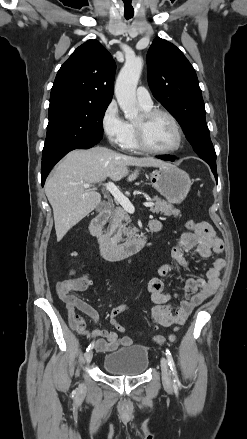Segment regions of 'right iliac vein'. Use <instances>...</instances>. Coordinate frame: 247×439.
<instances>
[{"label":"right iliac vein","mask_w":247,"mask_h":439,"mask_svg":"<svg viewBox=\"0 0 247 439\" xmlns=\"http://www.w3.org/2000/svg\"><path fill=\"white\" fill-rule=\"evenodd\" d=\"M92 358H93L92 350L87 351V353L85 354V362L87 364H89L91 362Z\"/></svg>","instance_id":"1"}]
</instances>
